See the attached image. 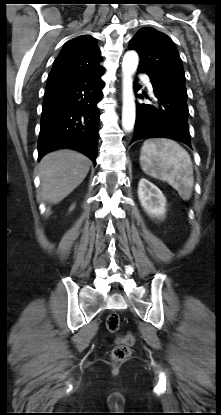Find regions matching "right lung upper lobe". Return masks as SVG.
<instances>
[{
  "label": "right lung upper lobe",
  "mask_w": 221,
  "mask_h": 415,
  "mask_svg": "<svg viewBox=\"0 0 221 415\" xmlns=\"http://www.w3.org/2000/svg\"><path fill=\"white\" fill-rule=\"evenodd\" d=\"M101 61L95 39L89 35L78 36L64 45L53 64L48 81L102 71Z\"/></svg>",
  "instance_id": "cb5924a9"
}]
</instances>
